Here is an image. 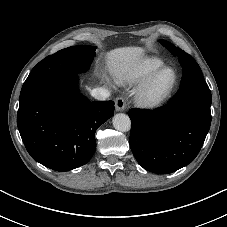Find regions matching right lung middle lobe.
<instances>
[{
    "mask_svg": "<svg viewBox=\"0 0 227 227\" xmlns=\"http://www.w3.org/2000/svg\"><path fill=\"white\" fill-rule=\"evenodd\" d=\"M95 46H73L62 49L40 61L31 71L23 86L42 78L85 72L94 57Z\"/></svg>",
    "mask_w": 227,
    "mask_h": 227,
    "instance_id": "obj_1",
    "label": "right lung middle lobe"
}]
</instances>
